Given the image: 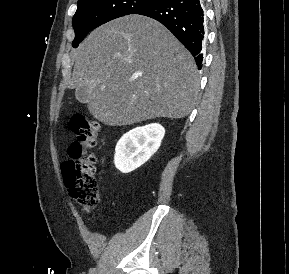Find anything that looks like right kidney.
<instances>
[{"label": "right kidney", "mask_w": 289, "mask_h": 274, "mask_svg": "<svg viewBox=\"0 0 289 274\" xmlns=\"http://www.w3.org/2000/svg\"><path fill=\"white\" fill-rule=\"evenodd\" d=\"M164 135L165 129L158 123L136 127L125 133L115 148V167L122 173L137 169L159 149Z\"/></svg>", "instance_id": "obj_1"}]
</instances>
